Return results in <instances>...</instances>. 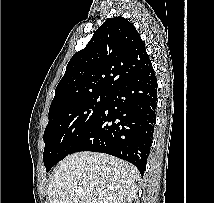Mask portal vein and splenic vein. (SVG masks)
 Here are the masks:
<instances>
[{
	"instance_id": "obj_1",
	"label": "portal vein and splenic vein",
	"mask_w": 214,
	"mask_h": 203,
	"mask_svg": "<svg viewBox=\"0 0 214 203\" xmlns=\"http://www.w3.org/2000/svg\"><path fill=\"white\" fill-rule=\"evenodd\" d=\"M75 192L77 195H80V196H84L86 194L83 188H79Z\"/></svg>"
}]
</instances>
